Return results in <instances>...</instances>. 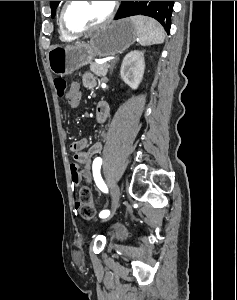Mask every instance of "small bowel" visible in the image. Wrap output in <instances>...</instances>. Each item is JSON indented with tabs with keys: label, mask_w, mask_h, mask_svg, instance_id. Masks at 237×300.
<instances>
[{
	"label": "small bowel",
	"mask_w": 237,
	"mask_h": 300,
	"mask_svg": "<svg viewBox=\"0 0 237 300\" xmlns=\"http://www.w3.org/2000/svg\"><path fill=\"white\" fill-rule=\"evenodd\" d=\"M82 85L85 88H93L96 85V78L91 73H86L82 77ZM80 90V84L74 82L69 88L70 94H76ZM109 117V106L106 102L101 101L96 107L95 121L98 125L104 124ZM101 136H105V130H101ZM88 140L86 138L73 142L70 146L71 151L74 153V163L70 165V171L80 177L83 176L87 182L92 180V158L98 155L102 150V143L100 141L94 142L87 150ZM76 209L79 208L78 203L75 204Z\"/></svg>",
	"instance_id": "c3829d8e"
}]
</instances>
